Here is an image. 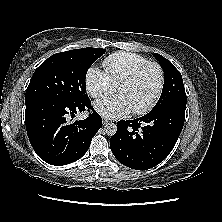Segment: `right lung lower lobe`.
<instances>
[{"mask_svg":"<svg viewBox=\"0 0 222 222\" xmlns=\"http://www.w3.org/2000/svg\"><path fill=\"white\" fill-rule=\"evenodd\" d=\"M91 109L84 119L71 123L68 116ZM25 122L28 138L36 154L45 162L62 166L80 159L88 150L102 119L89 98L66 101L43 97L26 104Z\"/></svg>","mask_w":222,"mask_h":222,"instance_id":"right-lung-lower-lobe-1","label":"right lung lower lobe"}]
</instances>
